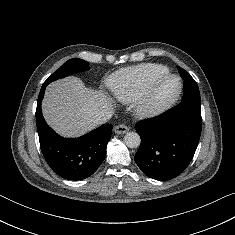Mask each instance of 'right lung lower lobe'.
I'll return each instance as SVG.
<instances>
[{"label":"right lung lower lobe","mask_w":235,"mask_h":235,"mask_svg":"<svg viewBox=\"0 0 235 235\" xmlns=\"http://www.w3.org/2000/svg\"><path fill=\"white\" fill-rule=\"evenodd\" d=\"M47 85H42L36 109V124L42 153L51 169L68 180H82L92 175L106 156L112 124H104L74 139L62 138L45 122L41 101Z\"/></svg>","instance_id":"98d812e1"}]
</instances>
